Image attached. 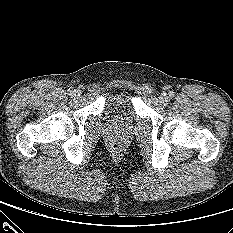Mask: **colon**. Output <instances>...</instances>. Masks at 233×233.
<instances>
[{
  "instance_id": "1",
  "label": "colon",
  "mask_w": 233,
  "mask_h": 233,
  "mask_svg": "<svg viewBox=\"0 0 233 233\" xmlns=\"http://www.w3.org/2000/svg\"><path fill=\"white\" fill-rule=\"evenodd\" d=\"M112 150H113L114 152H119V151H120V146H119L118 144H113V145H112Z\"/></svg>"
}]
</instances>
